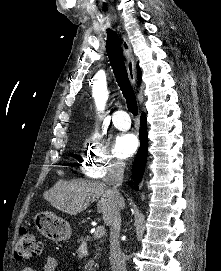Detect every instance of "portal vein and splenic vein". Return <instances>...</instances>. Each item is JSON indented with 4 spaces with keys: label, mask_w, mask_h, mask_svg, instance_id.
Returning <instances> with one entry per match:
<instances>
[{
    "label": "portal vein and splenic vein",
    "mask_w": 221,
    "mask_h": 271,
    "mask_svg": "<svg viewBox=\"0 0 221 271\" xmlns=\"http://www.w3.org/2000/svg\"><path fill=\"white\" fill-rule=\"evenodd\" d=\"M95 237L96 238H102L104 234V226H97V229L95 230Z\"/></svg>",
    "instance_id": "portal-vein-and-splenic-vein-1"
}]
</instances>
